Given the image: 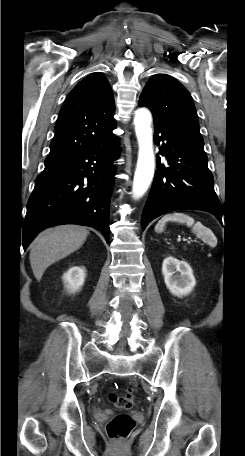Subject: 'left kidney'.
Instances as JSON below:
<instances>
[{
  "instance_id": "obj_1",
  "label": "left kidney",
  "mask_w": 245,
  "mask_h": 456,
  "mask_svg": "<svg viewBox=\"0 0 245 456\" xmlns=\"http://www.w3.org/2000/svg\"><path fill=\"white\" fill-rule=\"evenodd\" d=\"M162 274L169 291L178 297L188 295L196 285L190 265L172 256L164 259Z\"/></svg>"
}]
</instances>
